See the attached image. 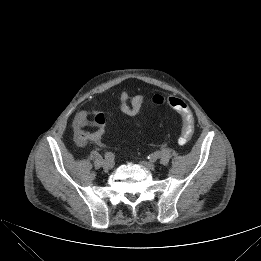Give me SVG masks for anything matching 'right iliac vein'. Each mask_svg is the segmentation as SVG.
Instances as JSON below:
<instances>
[{"instance_id":"right-iliac-vein-1","label":"right iliac vein","mask_w":261,"mask_h":261,"mask_svg":"<svg viewBox=\"0 0 261 261\" xmlns=\"http://www.w3.org/2000/svg\"><path fill=\"white\" fill-rule=\"evenodd\" d=\"M102 167H103V169H104L105 171H109V170H111V169L113 168V163L108 162V161H104V162L102 163Z\"/></svg>"}]
</instances>
